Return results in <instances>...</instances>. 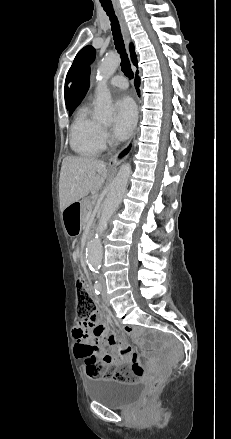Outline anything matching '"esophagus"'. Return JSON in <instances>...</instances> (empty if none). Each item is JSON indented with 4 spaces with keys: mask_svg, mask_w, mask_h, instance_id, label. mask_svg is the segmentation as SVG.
Returning a JSON list of instances; mask_svg holds the SVG:
<instances>
[{
    "mask_svg": "<svg viewBox=\"0 0 231 439\" xmlns=\"http://www.w3.org/2000/svg\"><path fill=\"white\" fill-rule=\"evenodd\" d=\"M116 9H117V13H118L120 24H121L123 38H124V41H125V44H126V47H127V50H128V46H129V43H130V33H129V30H128V27H127V24H126V21H125V18H124V14H123L122 10L120 9V7H117ZM139 117H140V108H138L137 123L139 121ZM137 130H138V127L136 126L135 131H134V136L136 135ZM117 156L118 155H115V156H113L109 160L108 167L110 169H115L117 167Z\"/></svg>",
    "mask_w": 231,
    "mask_h": 439,
    "instance_id": "esophagus-1",
    "label": "esophagus"
}]
</instances>
